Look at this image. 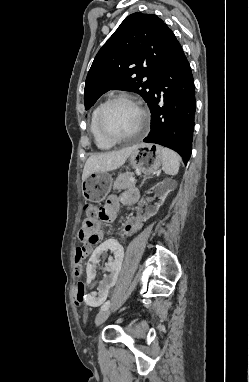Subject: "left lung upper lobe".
Returning <instances> with one entry per match:
<instances>
[{
    "instance_id": "5c2ea615",
    "label": "left lung upper lobe",
    "mask_w": 249,
    "mask_h": 382,
    "mask_svg": "<svg viewBox=\"0 0 249 382\" xmlns=\"http://www.w3.org/2000/svg\"><path fill=\"white\" fill-rule=\"evenodd\" d=\"M177 39L156 15H129L97 53L88 72L84 103L88 110L111 89L135 92L148 103Z\"/></svg>"
}]
</instances>
